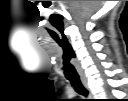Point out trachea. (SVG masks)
<instances>
[{"mask_svg":"<svg viewBox=\"0 0 128 101\" xmlns=\"http://www.w3.org/2000/svg\"><path fill=\"white\" fill-rule=\"evenodd\" d=\"M65 66H66L65 76L70 81V83L73 86V88L75 89V91L78 94L87 97L88 91L83 86V84L78 76L76 68L71 63H68V62L65 64ZM84 100H88V99H84Z\"/></svg>","mask_w":128,"mask_h":101,"instance_id":"3493384b","label":"trachea"}]
</instances>
